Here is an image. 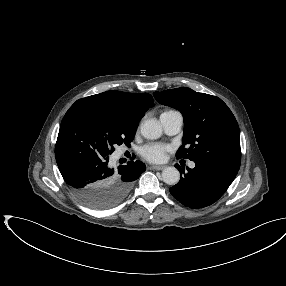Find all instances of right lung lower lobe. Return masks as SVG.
<instances>
[{
    "label": "right lung lower lobe",
    "mask_w": 286,
    "mask_h": 286,
    "mask_svg": "<svg viewBox=\"0 0 286 286\" xmlns=\"http://www.w3.org/2000/svg\"><path fill=\"white\" fill-rule=\"evenodd\" d=\"M109 155L61 123L55 157L64 181L85 205L107 209L120 203L146 167L141 161L112 168Z\"/></svg>",
    "instance_id": "right-lung-lower-lobe-1"
}]
</instances>
